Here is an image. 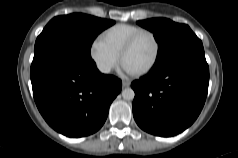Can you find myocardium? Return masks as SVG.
<instances>
[{"label":"myocardium","mask_w":238,"mask_h":158,"mask_svg":"<svg viewBox=\"0 0 238 158\" xmlns=\"http://www.w3.org/2000/svg\"><path fill=\"white\" fill-rule=\"evenodd\" d=\"M143 35H150L153 38V40L155 42L156 49H155V54H154V57H153L152 61L146 67H144L143 69L134 72L137 75L146 74L149 71H151L154 68V66L157 64L158 59L160 57V53H161V44H160V41H159L157 35L153 31L143 29V30L135 33L127 41V43L124 45L123 49L120 52V60H121V62L123 63V60H124V57L126 56V54L134 47V45L137 43V41Z\"/></svg>","instance_id":"obj_1"}]
</instances>
